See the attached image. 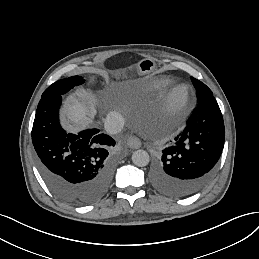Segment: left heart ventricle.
<instances>
[{
  "label": "left heart ventricle",
  "mask_w": 259,
  "mask_h": 259,
  "mask_svg": "<svg viewBox=\"0 0 259 259\" xmlns=\"http://www.w3.org/2000/svg\"><path fill=\"white\" fill-rule=\"evenodd\" d=\"M163 93L162 103L175 111H181L190 100V92L185 83L172 81L150 84Z\"/></svg>",
  "instance_id": "left-heart-ventricle-1"
}]
</instances>
